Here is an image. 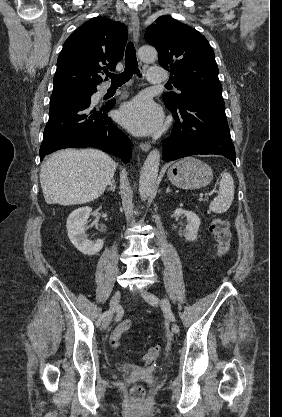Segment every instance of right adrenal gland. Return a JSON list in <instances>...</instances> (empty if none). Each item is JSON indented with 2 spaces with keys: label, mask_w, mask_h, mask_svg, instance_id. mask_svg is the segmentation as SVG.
Returning <instances> with one entry per match:
<instances>
[{
  "label": "right adrenal gland",
  "mask_w": 282,
  "mask_h": 417,
  "mask_svg": "<svg viewBox=\"0 0 282 417\" xmlns=\"http://www.w3.org/2000/svg\"><path fill=\"white\" fill-rule=\"evenodd\" d=\"M116 186H117V184H116L114 178H112V180L110 182V186H109V188H107V190H112V192H115Z\"/></svg>",
  "instance_id": "right-adrenal-gland-1"
}]
</instances>
